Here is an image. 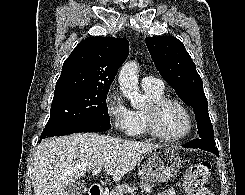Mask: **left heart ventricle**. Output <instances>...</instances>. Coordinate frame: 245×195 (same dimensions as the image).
Wrapping results in <instances>:
<instances>
[{
  "mask_svg": "<svg viewBox=\"0 0 245 195\" xmlns=\"http://www.w3.org/2000/svg\"><path fill=\"white\" fill-rule=\"evenodd\" d=\"M188 125L185 112L178 105H167L158 115V129L167 136L182 134Z\"/></svg>",
  "mask_w": 245,
  "mask_h": 195,
  "instance_id": "1",
  "label": "left heart ventricle"
}]
</instances>
